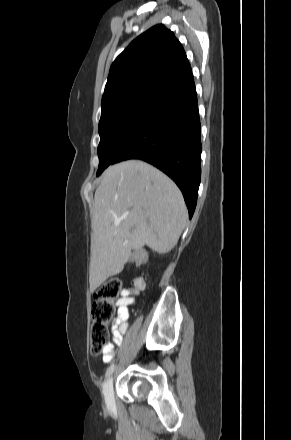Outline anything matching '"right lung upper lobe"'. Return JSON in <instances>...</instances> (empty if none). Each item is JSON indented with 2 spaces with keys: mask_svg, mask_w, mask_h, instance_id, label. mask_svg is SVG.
Instances as JSON below:
<instances>
[{
  "mask_svg": "<svg viewBox=\"0 0 291 440\" xmlns=\"http://www.w3.org/2000/svg\"><path fill=\"white\" fill-rule=\"evenodd\" d=\"M190 74L186 53L174 33L155 25L133 40L111 65L102 106L138 96L156 97Z\"/></svg>",
  "mask_w": 291,
  "mask_h": 440,
  "instance_id": "right-lung-upper-lobe-1",
  "label": "right lung upper lobe"
}]
</instances>
